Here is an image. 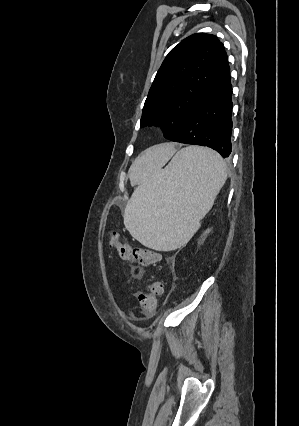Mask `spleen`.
I'll list each match as a JSON object with an SVG mask.
<instances>
[{"mask_svg": "<svg viewBox=\"0 0 299 426\" xmlns=\"http://www.w3.org/2000/svg\"><path fill=\"white\" fill-rule=\"evenodd\" d=\"M226 179L227 166L217 152L183 148L164 169L141 180L125 207L124 225L148 248L175 250L199 228Z\"/></svg>", "mask_w": 299, "mask_h": 426, "instance_id": "spleen-1", "label": "spleen"}]
</instances>
